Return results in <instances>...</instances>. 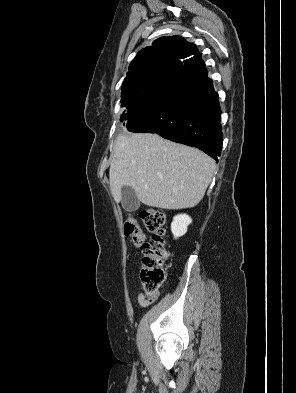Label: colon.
I'll list each match as a JSON object with an SVG mask.
<instances>
[{
  "mask_svg": "<svg viewBox=\"0 0 296 393\" xmlns=\"http://www.w3.org/2000/svg\"><path fill=\"white\" fill-rule=\"evenodd\" d=\"M141 218L146 229L153 234L150 241H145L144 234L132 215L124 222V232L143 252L140 282L148 296H155L167 276L165 262L169 253L164 241L166 216L162 209L149 207L141 212Z\"/></svg>",
  "mask_w": 296,
  "mask_h": 393,
  "instance_id": "5ec220e1",
  "label": "colon"
}]
</instances>
